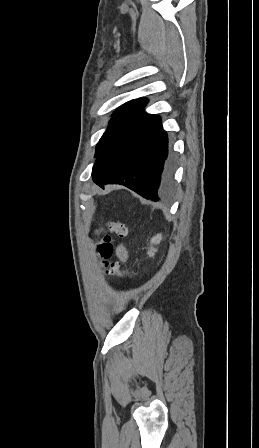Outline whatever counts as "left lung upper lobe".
Segmentation results:
<instances>
[{
	"instance_id": "left-lung-upper-lobe-1",
	"label": "left lung upper lobe",
	"mask_w": 259,
	"mask_h": 448,
	"mask_svg": "<svg viewBox=\"0 0 259 448\" xmlns=\"http://www.w3.org/2000/svg\"><path fill=\"white\" fill-rule=\"evenodd\" d=\"M147 102L148 100L146 98L134 99L123 104L115 111L107 130L104 132L95 148V156L98 154L103 145H105L113 137V135L124 126L133 114L142 110L146 106Z\"/></svg>"
}]
</instances>
